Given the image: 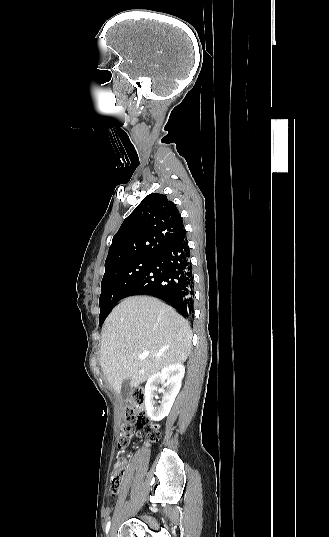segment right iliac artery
Returning <instances> with one entry per match:
<instances>
[{
	"label": "right iliac artery",
	"mask_w": 329,
	"mask_h": 537,
	"mask_svg": "<svg viewBox=\"0 0 329 537\" xmlns=\"http://www.w3.org/2000/svg\"><path fill=\"white\" fill-rule=\"evenodd\" d=\"M110 525H111V521H109V522L107 523V526H106V534L109 532Z\"/></svg>",
	"instance_id": "1"
}]
</instances>
